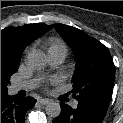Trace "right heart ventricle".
<instances>
[{"instance_id": "obj_1", "label": "right heart ventricle", "mask_w": 123, "mask_h": 123, "mask_svg": "<svg viewBox=\"0 0 123 123\" xmlns=\"http://www.w3.org/2000/svg\"><path fill=\"white\" fill-rule=\"evenodd\" d=\"M56 49H64L67 51V47L65 45V43L63 41H61L60 39H52L50 42H49V52L52 51V50H56Z\"/></svg>"}]
</instances>
